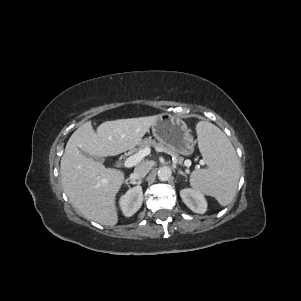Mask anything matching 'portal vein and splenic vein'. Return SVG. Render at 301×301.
I'll return each instance as SVG.
<instances>
[{"label":"portal vein and splenic vein","instance_id":"portal-vein-and-splenic-vein-1","mask_svg":"<svg viewBox=\"0 0 301 301\" xmlns=\"http://www.w3.org/2000/svg\"><path fill=\"white\" fill-rule=\"evenodd\" d=\"M160 151H162V150H160ZM150 152H151V149L149 147L141 149L138 153L127 158L124 162V166L127 168L133 167L134 165L139 163L145 156L149 155ZM163 152H165V151H163ZM174 163H176V160H174ZM202 164H203V162H201V165ZM185 165L187 167H189L191 165V163L189 162V163H186Z\"/></svg>","mask_w":301,"mask_h":301}]
</instances>
